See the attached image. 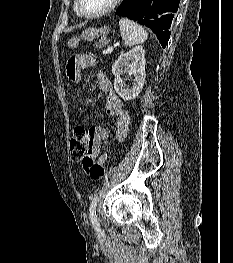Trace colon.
<instances>
[{
	"instance_id": "obj_1",
	"label": "colon",
	"mask_w": 233,
	"mask_h": 263,
	"mask_svg": "<svg viewBox=\"0 0 233 263\" xmlns=\"http://www.w3.org/2000/svg\"><path fill=\"white\" fill-rule=\"evenodd\" d=\"M94 127L78 125L75 127L70 138L71 157L75 161H80L84 169L92 179H101L105 175L103 164L94 162L91 159V142Z\"/></svg>"
}]
</instances>
